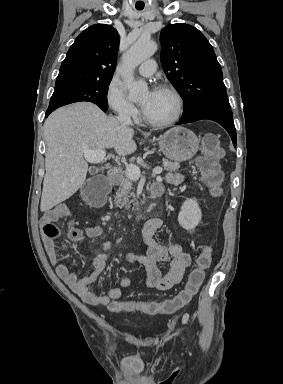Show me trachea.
Instances as JSON below:
<instances>
[{
    "mask_svg": "<svg viewBox=\"0 0 283 384\" xmlns=\"http://www.w3.org/2000/svg\"><path fill=\"white\" fill-rule=\"evenodd\" d=\"M137 10H143L142 8H138Z\"/></svg>",
    "mask_w": 283,
    "mask_h": 384,
    "instance_id": "1",
    "label": "trachea"
}]
</instances>
